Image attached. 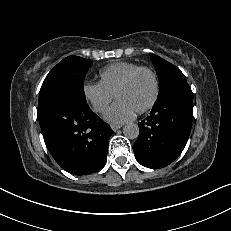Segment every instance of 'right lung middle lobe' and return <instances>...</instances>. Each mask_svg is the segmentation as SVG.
<instances>
[{"mask_svg": "<svg viewBox=\"0 0 231 231\" xmlns=\"http://www.w3.org/2000/svg\"><path fill=\"white\" fill-rule=\"evenodd\" d=\"M92 62L78 56H68L47 75L39 93L38 108L60 97H73L86 102L84 78Z\"/></svg>", "mask_w": 231, "mask_h": 231, "instance_id": "obj_1", "label": "right lung middle lobe"}]
</instances>
